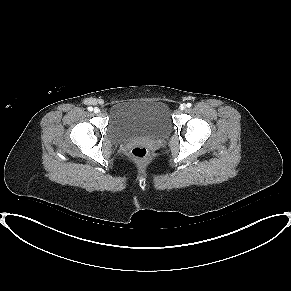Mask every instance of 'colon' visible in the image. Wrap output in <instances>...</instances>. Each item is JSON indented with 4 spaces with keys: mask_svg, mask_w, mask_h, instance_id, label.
I'll return each mask as SVG.
<instances>
[{
    "mask_svg": "<svg viewBox=\"0 0 291 291\" xmlns=\"http://www.w3.org/2000/svg\"><path fill=\"white\" fill-rule=\"evenodd\" d=\"M149 157V151L144 145H137L130 152V159L135 163H143Z\"/></svg>",
    "mask_w": 291,
    "mask_h": 291,
    "instance_id": "obj_1",
    "label": "colon"
}]
</instances>
